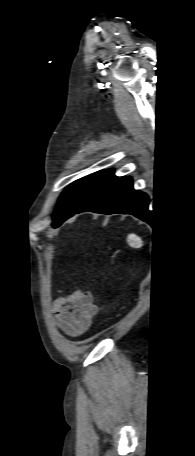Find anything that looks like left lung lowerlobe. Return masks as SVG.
<instances>
[{
  "label": "left lung lower lobe",
  "mask_w": 195,
  "mask_h": 456,
  "mask_svg": "<svg viewBox=\"0 0 195 456\" xmlns=\"http://www.w3.org/2000/svg\"><path fill=\"white\" fill-rule=\"evenodd\" d=\"M148 203L149 198L145 193L134 190L132 178L117 177L112 173L104 186L74 214L85 211L103 214L122 213L147 220Z\"/></svg>",
  "instance_id": "left-lung-lower-lobe-1"
}]
</instances>
